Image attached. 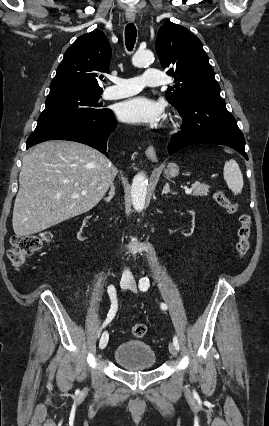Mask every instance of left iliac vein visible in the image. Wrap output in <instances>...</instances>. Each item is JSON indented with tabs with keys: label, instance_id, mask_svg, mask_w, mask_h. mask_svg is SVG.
<instances>
[{
	"label": "left iliac vein",
	"instance_id": "obj_1",
	"mask_svg": "<svg viewBox=\"0 0 269 426\" xmlns=\"http://www.w3.org/2000/svg\"><path fill=\"white\" fill-rule=\"evenodd\" d=\"M129 289L133 292H137V285L134 280L130 282ZM169 352L173 357L177 356V349L172 342L169 343Z\"/></svg>",
	"mask_w": 269,
	"mask_h": 426
}]
</instances>
